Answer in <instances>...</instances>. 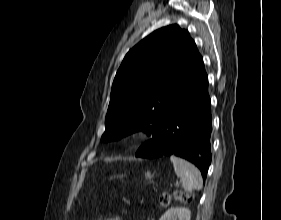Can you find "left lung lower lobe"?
I'll list each match as a JSON object with an SVG mask.
<instances>
[{
  "mask_svg": "<svg viewBox=\"0 0 281 220\" xmlns=\"http://www.w3.org/2000/svg\"><path fill=\"white\" fill-rule=\"evenodd\" d=\"M208 76L204 63L179 88L176 101L154 138L142 145L136 157L175 155L195 164L206 178L211 163L212 132Z\"/></svg>",
  "mask_w": 281,
  "mask_h": 220,
  "instance_id": "left-lung-lower-lobe-1",
  "label": "left lung lower lobe"
}]
</instances>
